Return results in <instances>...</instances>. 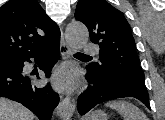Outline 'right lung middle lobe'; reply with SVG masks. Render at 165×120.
<instances>
[{"label": "right lung middle lobe", "mask_w": 165, "mask_h": 120, "mask_svg": "<svg viewBox=\"0 0 165 120\" xmlns=\"http://www.w3.org/2000/svg\"><path fill=\"white\" fill-rule=\"evenodd\" d=\"M5 64H7V63H5ZM5 64H0V66H1V65H5Z\"/></svg>", "instance_id": "obj_1"}]
</instances>
